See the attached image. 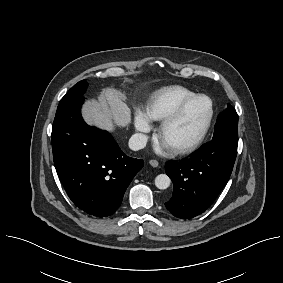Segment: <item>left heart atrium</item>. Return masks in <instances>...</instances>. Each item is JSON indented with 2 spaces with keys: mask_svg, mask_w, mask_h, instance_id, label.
Returning <instances> with one entry per match:
<instances>
[{
  "mask_svg": "<svg viewBox=\"0 0 283 283\" xmlns=\"http://www.w3.org/2000/svg\"><path fill=\"white\" fill-rule=\"evenodd\" d=\"M171 147H169L166 143H161L158 147H157V151L158 152H163L166 150H169Z\"/></svg>",
  "mask_w": 283,
  "mask_h": 283,
  "instance_id": "39dd6f15",
  "label": "left heart atrium"
}]
</instances>
